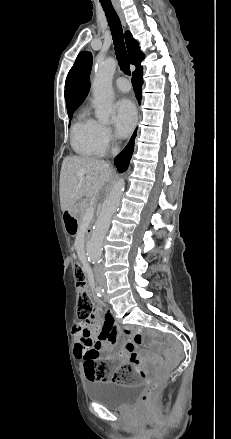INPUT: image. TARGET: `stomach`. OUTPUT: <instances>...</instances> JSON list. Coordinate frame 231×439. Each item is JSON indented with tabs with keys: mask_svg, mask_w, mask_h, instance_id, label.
I'll list each match as a JSON object with an SVG mask.
<instances>
[{
	"mask_svg": "<svg viewBox=\"0 0 231 439\" xmlns=\"http://www.w3.org/2000/svg\"><path fill=\"white\" fill-rule=\"evenodd\" d=\"M72 208L65 210L66 219L64 221V227L69 234H74L76 230V225L69 220L68 213H70ZM68 212V213H66Z\"/></svg>",
	"mask_w": 231,
	"mask_h": 439,
	"instance_id": "stomach-1",
	"label": "stomach"
}]
</instances>
